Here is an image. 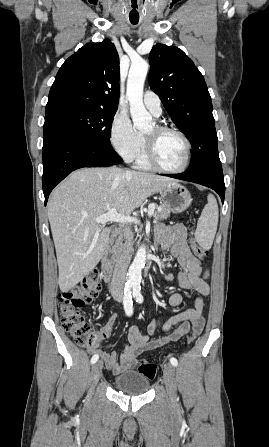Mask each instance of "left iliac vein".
<instances>
[{"mask_svg":"<svg viewBox=\"0 0 269 447\" xmlns=\"http://www.w3.org/2000/svg\"><path fill=\"white\" fill-rule=\"evenodd\" d=\"M164 382L169 395L170 401L173 403L176 401L175 387H174V376L175 368L172 364L164 363Z\"/></svg>","mask_w":269,"mask_h":447,"instance_id":"1","label":"left iliac vein"}]
</instances>
